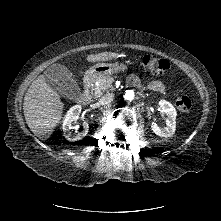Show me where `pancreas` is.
I'll use <instances>...</instances> for the list:
<instances>
[{
	"label": "pancreas",
	"mask_w": 221,
	"mask_h": 221,
	"mask_svg": "<svg viewBox=\"0 0 221 221\" xmlns=\"http://www.w3.org/2000/svg\"><path fill=\"white\" fill-rule=\"evenodd\" d=\"M98 85H95L91 88L92 95L94 97H99L102 95L104 92L110 91L113 89L112 83L114 82V78L107 76V77H102L98 78Z\"/></svg>",
	"instance_id": "obj_1"
}]
</instances>
